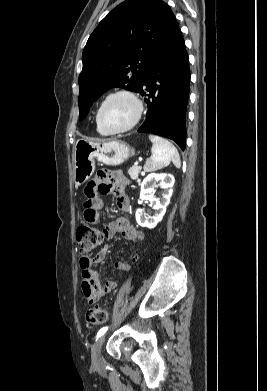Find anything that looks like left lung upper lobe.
I'll use <instances>...</instances> for the list:
<instances>
[{
  "mask_svg": "<svg viewBox=\"0 0 267 391\" xmlns=\"http://www.w3.org/2000/svg\"><path fill=\"white\" fill-rule=\"evenodd\" d=\"M178 28L161 0H126L113 9L90 35L82 54L80 120L110 88L138 92L152 58Z\"/></svg>",
  "mask_w": 267,
  "mask_h": 391,
  "instance_id": "1",
  "label": "left lung upper lobe"
}]
</instances>
